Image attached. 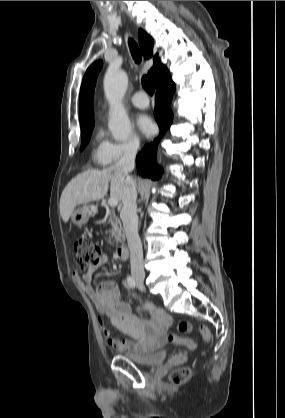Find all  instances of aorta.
<instances>
[{
	"mask_svg": "<svg viewBox=\"0 0 285 418\" xmlns=\"http://www.w3.org/2000/svg\"><path fill=\"white\" fill-rule=\"evenodd\" d=\"M127 86L128 77L124 70L108 69L104 78V91L112 111L108 127L116 141L127 140L131 132L129 117L121 104Z\"/></svg>",
	"mask_w": 285,
	"mask_h": 418,
	"instance_id": "1",
	"label": "aorta"
}]
</instances>
